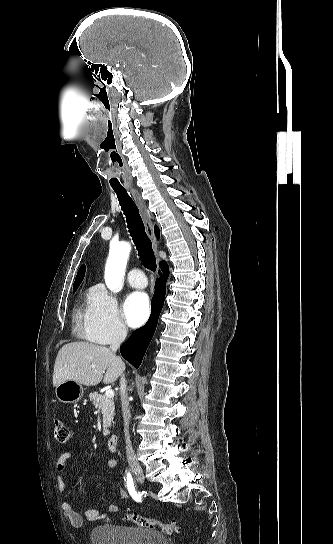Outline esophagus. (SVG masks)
Segmentation results:
<instances>
[{"label": "esophagus", "mask_w": 333, "mask_h": 544, "mask_svg": "<svg viewBox=\"0 0 333 544\" xmlns=\"http://www.w3.org/2000/svg\"><path fill=\"white\" fill-rule=\"evenodd\" d=\"M131 193L134 197V200L136 201L137 205H138V208H139V211H140V214L142 216V219H143V222H144V226H145V230H146V233L149 237V239L151 240L152 242V246H153V250L155 252V255H156V258H157V261L159 263V257H158V242H157V239L155 237V234H154V228H153V221H152V218L148 212V209H147V206L143 200V198L141 197V195L139 194V192L136 190V189H131ZM162 275V269L161 267L158 265L157 266V269H156V277L157 278H160Z\"/></svg>", "instance_id": "obj_1"}]
</instances>
